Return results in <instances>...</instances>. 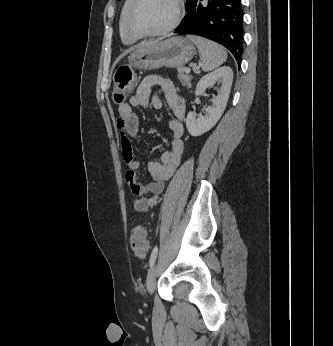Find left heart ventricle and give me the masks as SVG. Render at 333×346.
I'll list each match as a JSON object with an SVG mask.
<instances>
[{
	"instance_id": "left-heart-ventricle-1",
	"label": "left heart ventricle",
	"mask_w": 333,
	"mask_h": 346,
	"mask_svg": "<svg viewBox=\"0 0 333 346\" xmlns=\"http://www.w3.org/2000/svg\"><path fill=\"white\" fill-rule=\"evenodd\" d=\"M175 15L174 0H141L133 16V24L142 31L167 27Z\"/></svg>"
}]
</instances>
